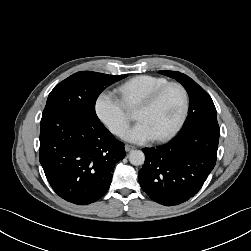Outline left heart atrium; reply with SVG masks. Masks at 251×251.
Masks as SVG:
<instances>
[{
	"label": "left heart atrium",
	"mask_w": 251,
	"mask_h": 251,
	"mask_svg": "<svg viewBox=\"0 0 251 251\" xmlns=\"http://www.w3.org/2000/svg\"><path fill=\"white\" fill-rule=\"evenodd\" d=\"M122 137L133 143H145L155 139L150 127L144 121H138L134 126L125 131Z\"/></svg>",
	"instance_id": "39dd6f15"
}]
</instances>
